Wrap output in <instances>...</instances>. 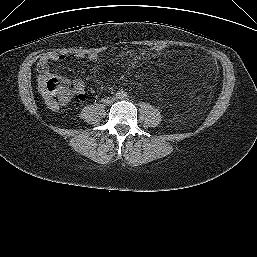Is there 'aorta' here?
<instances>
[{
	"label": "aorta",
	"instance_id": "1",
	"mask_svg": "<svg viewBox=\"0 0 257 257\" xmlns=\"http://www.w3.org/2000/svg\"><path fill=\"white\" fill-rule=\"evenodd\" d=\"M125 95H126L125 92H121V93H120V97H121V98H123Z\"/></svg>",
	"mask_w": 257,
	"mask_h": 257
}]
</instances>
